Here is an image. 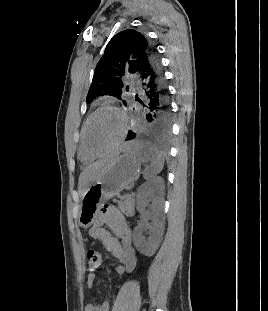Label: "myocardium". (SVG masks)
Wrapping results in <instances>:
<instances>
[{"mask_svg":"<svg viewBox=\"0 0 268 311\" xmlns=\"http://www.w3.org/2000/svg\"><path fill=\"white\" fill-rule=\"evenodd\" d=\"M104 110L114 111L119 116V118L121 120V124H122L121 133H120L118 139L116 140V142L107 151H105L103 153H95L88 147V144H87V128H88V125H89L91 119L96 114H98L99 112L104 111ZM127 132H128V119H127L126 114L120 108H118L115 105L104 104V105H101L98 108H96L94 111H92L88 115V117L86 118V120H85V122L83 124V127H82L81 141H82V145H83L85 151L91 157H93V158H100V157H104V156L110 154L111 152H113L114 150H116L122 144V142L125 140V138L127 136Z\"/></svg>","mask_w":268,"mask_h":311,"instance_id":"f54148a6","label":"myocardium"}]
</instances>
